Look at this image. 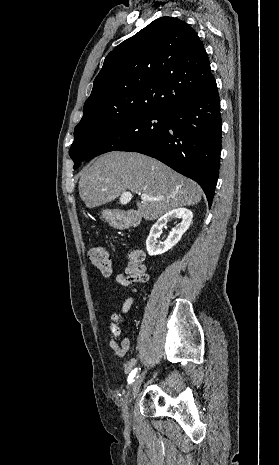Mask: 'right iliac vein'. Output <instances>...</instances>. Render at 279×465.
Listing matches in <instances>:
<instances>
[{"label": "right iliac vein", "instance_id": "obj_1", "mask_svg": "<svg viewBox=\"0 0 279 465\" xmlns=\"http://www.w3.org/2000/svg\"><path fill=\"white\" fill-rule=\"evenodd\" d=\"M145 377V372H143L142 374L140 375H137L136 378L133 380V383L131 384L128 392H127V395L125 397V400H126V403L129 405L133 399L136 397L138 391H139V388L143 382V379ZM124 419L127 423H130L131 421V414L130 412L128 411V409L126 408L124 410Z\"/></svg>", "mask_w": 279, "mask_h": 465}]
</instances>
